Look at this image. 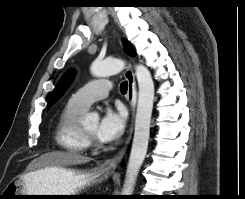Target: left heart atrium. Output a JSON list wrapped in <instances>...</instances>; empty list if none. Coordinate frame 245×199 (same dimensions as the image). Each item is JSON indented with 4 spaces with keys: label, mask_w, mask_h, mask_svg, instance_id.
Returning <instances> with one entry per match:
<instances>
[{
    "label": "left heart atrium",
    "mask_w": 245,
    "mask_h": 199,
    "mask_svg": "<svg viewBox=\"0 0 245 199\" xmlns=\"http://www.w3.org/2000/svg\"><path fill=\"white\" fill-rule=\"evenodd\" d=\"M126 115L121 107L105 109L97 127L96 137L102 142H113L124 132Z\"/></svg>",
    "instance_id": "1"
}]
</instances>
